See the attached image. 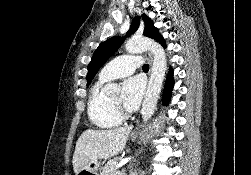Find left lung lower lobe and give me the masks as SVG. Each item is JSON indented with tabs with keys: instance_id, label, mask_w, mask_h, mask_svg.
<instances>
[{
	"instance_id": "0a47b994",
	"label": "left lung lower lobe",
	"mask_w": 251,
	"mask_h": 175,
	"mask_svg": "<svg viewBox=\"0 0 251 175\" xmlns=\"http://www.w3.org/2000/svg\"><path fill=\"white\" fill-rule=\"evenodd\" d=\"M162 46H166L164 39L161 37L160 39L157 40ZM173 85H174V80H173V71L170 69L169 73L167 75V79H166V83L164 86V91H163V99H162V103L163 105H167L170 101V97H171V91L173 89Z\"/></svg>"
}]
</instances>
